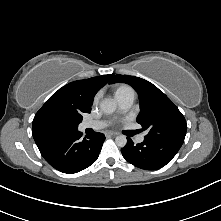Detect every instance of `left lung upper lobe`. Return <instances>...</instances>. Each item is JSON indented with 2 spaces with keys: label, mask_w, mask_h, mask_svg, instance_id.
Returning a JSON list of instances; mask_svg holds the SVG:
<instances>
[{
  "label": "left lung upper lobe",
  "mask_w": 221,
  "mask_h": 221,
  "mask_svg": "<svg viewBox=\"0 0 221 221\" xmlns=\"http://www.w3.org/2000/svg\"><path fill=\"white\" fill-rule=\"evenodd\" d=\"M131 85L139 96L140 113L137 122L148 130L146 139L184 142L187 124L173 102L155 85L135 76L116 75L112 83Z\"/></svg>",
  "instance_id": "left-lung-upper-lobe-1"
}]
</instances>
